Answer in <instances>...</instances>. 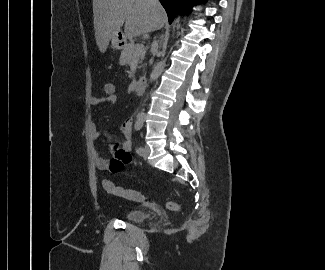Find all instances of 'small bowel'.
Here are the masks:
<instances>
[{
  "mask_svg": "<svg viewBox=\"0 0 325 270\" xmlns=\"http://www.w3.org/2000/svg\"><path fill=\"white\" fill-rule=\"evenodd\" d=\"M116 102H117V95L116 96L103 95L100 97L92 96L89 99V104L91 106H98L101 104L114 105ZM132 126H133V120L131 118L126 119L119 127L120 133L122 135L121 142L119 144H116L110 141L109 149L114 154V157L111 160L103 158L100 155L98 149L93 148L92 156L98 169L107 170L109 167L111 172L118 173L124 169L125 165L130 163L131 161L130 152L132 150ZM90 136L94 141L98 140L102 136L101 132L97 129L95 122H92L90 125ZM106 137L110 140L109 135H106Z\"/></svg>",
  "mask_w": 325,
  "mask_h": 270,
  "instance_id": "obj_1",
  "label": "small bowel"
}]
</instances>
